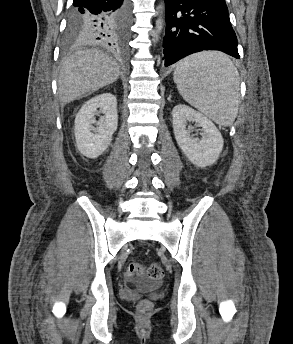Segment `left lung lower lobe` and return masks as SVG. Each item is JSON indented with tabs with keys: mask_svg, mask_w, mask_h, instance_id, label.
<instances>
[{
	"mask_svg": "<svg viewBox=\"0 0 293 344\" xmlns=\"http://www.w3.org/2000/svg\"><path fill=\"white\" fill-rule=\"evenodd\" d=\"M165 4V67L203 50L240 57L225 0H165Z\"/></svg>",
	"mask_w": 293,
	"mask_h": 344,
	"instance_id": "0a47b994",
	"label": "left lung lower lobe"
}]
</instances>
